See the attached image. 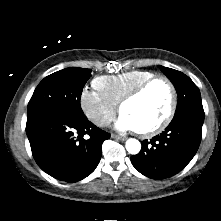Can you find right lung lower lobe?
I'll list each match as a JSON object with an SVG mask.
<instances>
[{
    "label": "right lung lower lobe",
    "mask_w": 221,
    "mask_h": 221,
    "mask_svg": "<svg viewBox=\"0 0 221 221\" xmlns=\"http://www.w3.org/2000/svg\"><path fill=\"white\" fill-rule=\"evenodd\" d=\"M26 133L38 166L65 182L90 175L101 159L102 143L110 138L83 113L66 111L27 118Z\"/></svg>",
    "instance_id": "1"
}]
</instances>
